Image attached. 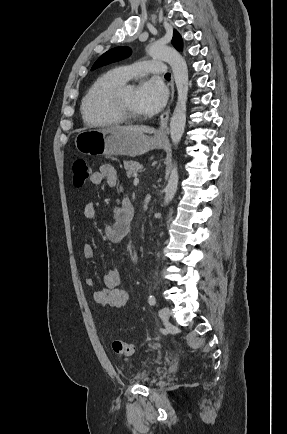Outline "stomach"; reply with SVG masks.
I'll list each match as a JSON object with an SVG mask.
<instances>
[{"mask_svg": "<svg viewBox=\"0 0 287 434\" xmlns=\"http://www.w3.org/2000/svg\"><path fill=\"white\" fill-rule=\"evenodd\" d=\"M76 149L86 155H122L135 157L159 149L163 141L144 133H131L115 127L87 129L75 137Z\"/></svg>", "mask_w": 287, "mask_h": 434, "instance_id": "0dacf381", "label": "stomach"}]
</instances>
